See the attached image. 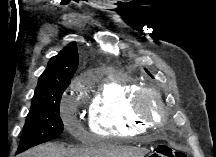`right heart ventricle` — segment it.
I'll return each mask as SVG.
<instances>
[{"label":"right heart ventricle","mask_w":216,"mask_h":157,"mask_svg":"<svg viewBox=\"0 0 216 157\" xmlns=\"http://www.w3.org/2000/svg\"><path fill=\"white\" fill-rule=\"evenodd\" d=\"M138 92L137 85L123 75L104 80L90 103L91 131L101 136H130L150 128V123L134 112Z\"/></svg>","instance_id":"right-heart-ventricle-1"}]
</instances>
